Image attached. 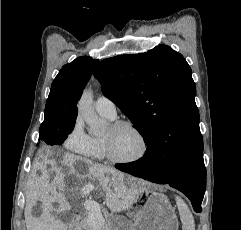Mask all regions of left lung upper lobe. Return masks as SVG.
<instances>
[{"label":"left lung upper lobe","instance_id":"obj_1","mask_svg":"<svg viewBox=\"0 0 241 230\" xmlns=\"http://www.w3.org/2000/svg\"><path fill=\"white\" fill-rule=\"evenodd\" d=\"M94 75L104 95L131 120L147 147L160 142L173 166L203 152L196 86L180 53L159 45L147 53L107 58Z\"/></svg>","mask_w":241,"mask_h":230}]
</instances>
